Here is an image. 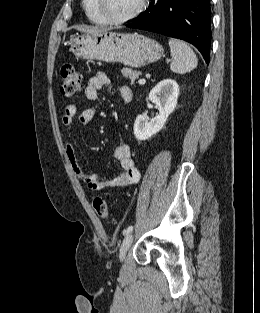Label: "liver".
<instances>
[{"instance_id":"obj_1","label":"liver","mask_w":260,"mask_h":313,"mask_svg":"<svg viewBox=\"0 0 260 313\" xmlns=\"http://www.w3.org/2000/svg\"><path fill=\"white\" fill-rule=\"evenodd\" d=\"M79 31L84 33H99V32H106L108 29L106 28H99V27H79L77 28Z\"/></svg>"}]
</instances>
